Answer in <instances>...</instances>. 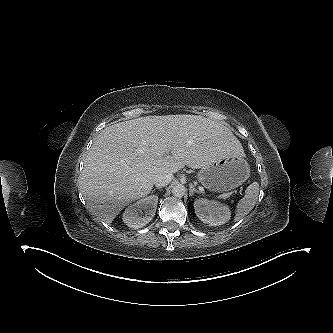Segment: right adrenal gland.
<instances>
[{
  "instance_id": "right-adrenal-gland-1",
  "label": "right adrenal gland",
  "mask_w": 333,
  "mask_h": 333,
  "mask_svg": "<svg viewBox=\"0 0 333 333\" xmlns=\"http://www.w3.org/2000/svg\"><path fill=\"white\" fill-rule=\"evenodd\" d=\"M156 189H157V188H156ZM154 190H155V189H154ZM158 190H160V191H161L162 189L158 188Z\"/></svg>"
}]
</instances>
